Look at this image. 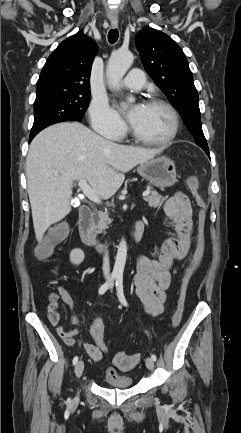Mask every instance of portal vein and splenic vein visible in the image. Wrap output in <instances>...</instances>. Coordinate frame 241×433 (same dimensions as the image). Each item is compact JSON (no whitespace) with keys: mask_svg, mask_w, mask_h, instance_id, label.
Returning <instances> with one entry per match:
<instances>
[{"mask_svg":"<svg viewBox=\"0 0 241 433\" xmlns=\"http://www.w3.org/2000/svg\"><path fill=\"white\" fill-rule=\"evenodd\" d=\"M78 186L89 200L93 201L94 203L101 204V200H100L99 196L92 190V188L88 185V183L85 179L79 180ZM149 194H150V191L146 190L143 192L142 196L146 197Z\"/></svg>","mask_w":241,"mask_h":433,"instance_id":"1","label":"portal vein and splenic vein"}]
</instances>
